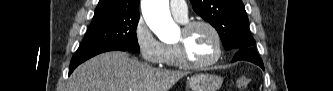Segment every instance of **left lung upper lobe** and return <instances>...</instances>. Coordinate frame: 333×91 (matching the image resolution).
<instances>
[{
    "instance_id": "1",
    "label": "left lung upper lobe",
    "mask_w": 333,
    "mask_h": 91,
    "mask_svg": "<svg viewBox=\"0 0 333 91\" xmlns=\"http://www.w3.org/2000/svg\"><path fill=\"white\" fill-rule=\"evenodd\" d=\"M194 11L218 31L224 47L236 51L253 47L254 39L241 0H190Z\"/></svg>"
}]
</instances>
